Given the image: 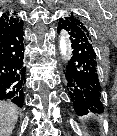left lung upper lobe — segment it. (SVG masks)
Listing matches in <instances>:
<instances>
[{
    "label": "left lung upper lobe",
    "mask_w": 117,
    "mask_h": 136,
    "mask_svg": "<svg viewBox=\"0 0 117 136\" xmlns=\"http://www.w3.org/2000/svg\"><path fill=\"white\" fill-rule=\"evenodd\" d=\"M66 19L73 26L78 27L85 31L92 39L93 36L90 33L89 27L87 26L86 22L82 20L78 15L73 14V12H71L70 15L66 16Z\"/></svg>",
    "instance_id": "5c2ea615"
}]
</instances>
